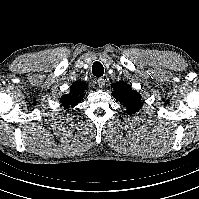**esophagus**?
Wrapping results in <instances>:
<instances>
[{
    "label": "esophagus",
    "instance_id": "esophagus-1",
    "mask_svg": "<svg viewBox=\"0 0 199 199\" xmlns=\"http://www.w3.org/2000/svg\"><path fill=\"white\" fill-rule=\"evenodd\" d=\"M97 83H98V86H99V88H104L105 87V85H106V79H104V78H98L97 79Z\"/></svg>",
    "mask_w": 199,
    "mask_h": 199
}]
</instances>
